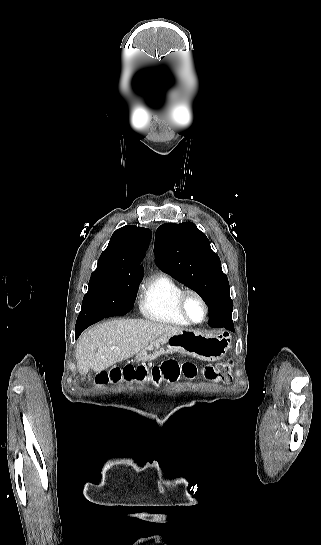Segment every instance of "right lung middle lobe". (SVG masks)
<instances>
[{
	"label": "right lung middle lobe",
	"instance_id": "right-lung-middle-lobe-1",
	"mask_svg": "<svg viewBox=\"0 0 321 545\" xmlns=\"http://www.w3.org/2000/svg\"><path fill=\"white\" fill-rule=\"evenodd\" d=\"M139 284L140 282L136 281L118 280L105 273H92L77 322L100 318L106 305L114 298L122 295H136Z\"/></svg>",
	"mask_w": 321,
	"mask_h": 545
}]
</instances>
